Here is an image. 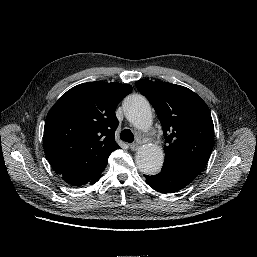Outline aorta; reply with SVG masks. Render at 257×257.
Wrapping results in <instances>:
<instances>
[{
	"label": "aorta",
	"instance_id": "762f6f07",
	"mask_svg": "<svg viewBox=\"0 0 257 257\" xmlns=\"http://www.w3.org/2000/svg\"><path fill=\"white\" fill-rule=\"evenodd\" d=\"M127 120L136 128L147 130L152 125V111L147 99L141 95L127 98L123 105ZM138 169L147 175L157 174L164 162L163 150L154 144L141 146L135 155Z\"/></svg>",
	"mask_w": 257,
	"mask_h": 257
}]
</instances>
